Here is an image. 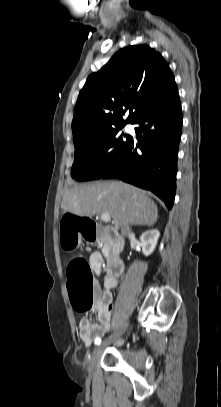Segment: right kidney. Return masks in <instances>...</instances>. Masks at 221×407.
Masks as SVG:
<instances>
[{"label":"right kidney","mask_w":221,"mask_h":407,"mask_svg":"<svg viewBox=\"0 0 221 407\" xmlns=\"http://www.w3.org/2000/svg\"><path fill=\"white\" fill-rule=\"evenodd\" d=\"M160 232L157 229L148 230L140 236V245L145 256L150 255L157 244Z\"/></svg>","instance_id":"obj_1"}]
</instances>
